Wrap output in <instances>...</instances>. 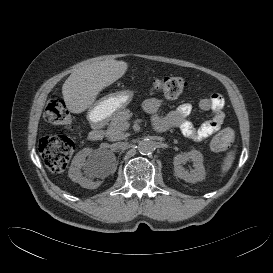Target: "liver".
Here are the masks:
<instances>
[{"instance_id": "liver-1", "label": "liver", "mask_w": 273, "mask_h": 273, "mask_svg": "<svg viewBox=\"0 0 273 273\" xmlns=\"http://www.w3.org/2000/svg\"><path fill=\"white\" fill-rule=\"evenodd\" d=\"M127 69L126 62L113 59L76 69L62 86L67 109L72 113L84 112L93 105L99 92L121 78Z\"/></svg>"}]
</instances>
